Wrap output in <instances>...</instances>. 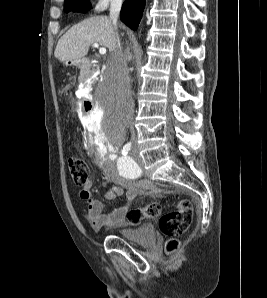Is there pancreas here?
Masks as SVG:
<instances>
[{
    "mask_svg": "<svg viewBox=\"0 0 267 298\" xmlns=\"http://www.w3.org/2000/svg\"><path fill=\"white\" fill-rule=\"evenodd\" d=\"M90 72H91V74H92L93 72H95V69H92ZM82 77H83V78H84V77L87 78V77H89V76L82 75Z\"/></svg>",
    "mask_w": 267,
    "mask_h": 298,
    "instance_id": "1",
    "label": "pancreas"
}]
</instances>
